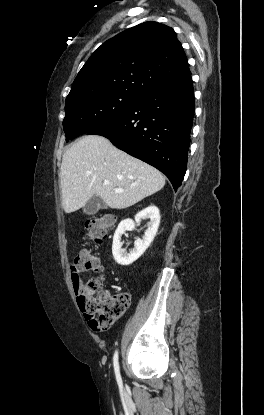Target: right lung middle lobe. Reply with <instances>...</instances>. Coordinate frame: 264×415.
<instances>
[{
    "mask_svg": "<svg viewBox=\"0 0 264 415\" xmlns=\"http://www.w3.org/2000/svg\"><path fill=\"white\" fill-rule=\"evenodd\" d=\"M141 98L127 92H107L84 95L66 100L63 120L66 140L105 124L131 109Z\"/></svg>",
    "mask_w": 264,
    "mask_h": 415,
    "instance_id": "right-lung-middle-lobe-1",
    "label": "right lung middle lobe"
}]
</instances>
